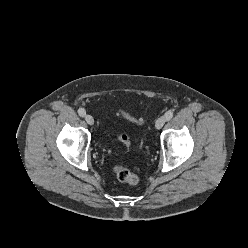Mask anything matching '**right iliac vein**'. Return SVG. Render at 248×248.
I'll return each mask as SVG.
<instances>
[{"instance_id":"obj_1","label":"right iliac vein","mask_w":248,"mask_h":248,"mask_svg":"<svg viewBox=\"0 0 248 248\" xmlns=\"http://www.w3.org/2000/svg\"><path fill=\"white\" fill-rule=\"evenodd\" d=\"M85 120H86V122H87L89 125H93V124H94V118H93L91 115H89V114H87V115L85 116Z\"/></svg>"}]
</instances>
